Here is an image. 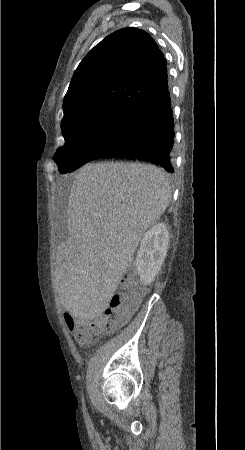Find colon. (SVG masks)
Segmentation results:
<instances>
[{"mask_svg": "<svg viewBox=\"0 0 245 450\" xmlns=\"http://www.w3.org/2000/svg\"><path fill=\"white\" fill-rule=\"evenodd\" d=\"M121 291L111 297L109 304L96 316L71 324L81 339H87L90 331H115L124 326L137 311L143 290L138 288L133 275H127L120 282Z\"/></svg>", "mask_w": 245, "mask_h": 450, "instance_id": "1", "label": "colon"}]
</instances>
